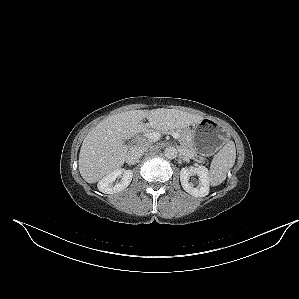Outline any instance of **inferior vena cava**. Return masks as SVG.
<instances>
[{
  "label": "inferior vena cava",
  "mask_w": 299,
  "mask_h": 299,
  "mask_svg": "<svg viewBox=\"0 0 299 299\" xmlns=\"http://www.w3.org/2000/svg\"><path fill=\"white\" fill-rule=\"evenodd\" d=\"M147 146L134 145L128 151V157L132 161H137L146 151Z\"/></svg>",
  "instance_id": "inferior-vena-cava-1"
}]
</instances>
